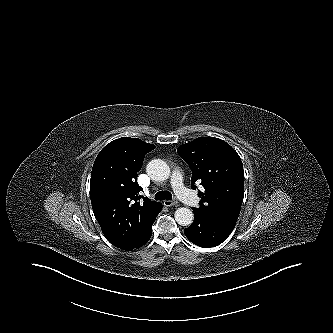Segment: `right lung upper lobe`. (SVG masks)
I'll use <instances>...</instances> for the list:
<instances>
[{
	"label": "right lung upper lobe",
	"instance_id": "right-lung-upper-lobe-1",
	"mask_svg": "<svg viewBox=\"0 0 333 333\" xmlns=\"http://www.w3.org/2000/svg\"><path fill=\"white\" fill-rule=\"evenodd\" d=\"M155 145L123 137L98 154L91 173L90 195L95 218L114 246L132 250L151 229L162 204L140 195L137 173ZM143 198V200H141Z\"/></svg>",
	"mask_w": 333,
	"mask_h": 333
}]
</instances>
